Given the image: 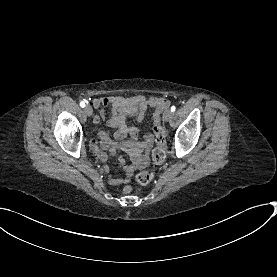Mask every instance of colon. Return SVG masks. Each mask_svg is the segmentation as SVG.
Listing matches in <instances>:
<instances>
[{
  "label": "colon",
  "mask_w": 277,
  "mask_h": 277,
  "mask_svg": "<svg viewBox=\"0 0 277 277\" xmlns=\"http://www.w3.org/2000/svg\"><path fill=\"white\" fill-rule=\"evenodd\" d=\"M155 137H156V148L152 155V160L155 166L160 165L165 157V133L163 131L161 121L156 118L154 121ZM155 175L152 171H144L137 175L136 180L140 184H148L153 181Z\"/></svg>",
  "instance_id": "5ec220e1"
}]
</instances>
